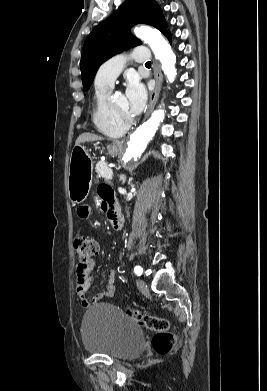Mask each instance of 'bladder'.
I'll return each instance as SVG.
<instances>
[{"mask_svg": "<svg viewBox=\"0 0 267 391\" xmlns=\"http://www.w3.org/2000/svg\"><path fill=\"white\" fill-rule=\"evenodd\" d=\"M81 336L83 347L88 353L120 360L140 355L145 343L140 326L107 303L93 306L85 313Z\"/></svg>", "mask_w": 267, "mask_h": 391, "instance_id": "31cf9c89", "label": "bladder"}]
</instances>
